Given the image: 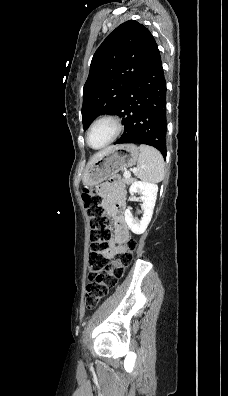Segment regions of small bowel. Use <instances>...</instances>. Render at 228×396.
<instances>
[{
    "mask_svg": "<svg viewBox=\"0 0 228 396\" xmlns=\"http://www.w3.org/2000/svg\"><path fill=\"white\" fill-rule=\"evenodd\" d=\"M100 195L105 199V206L112 212L114 225L117 232V240L123 241L128 237V227L123 217L122 201L125 190L118 178L111 179L108 183L100 184L98 187ZM121 250L120 246L115 247L113 242H109L107 254L113 256Z\"/></svg>",
    "mask_w": 228,
    "mask_h": 396,
    "instance_id": "obj_1",
    "label": "small bowel"
}]
</instances>
